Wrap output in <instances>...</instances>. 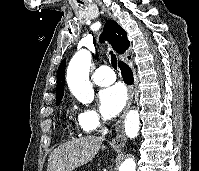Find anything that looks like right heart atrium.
<instances>
[{
	"label": "right heart atrium",
	"mask_w": 199,
	"mask_h": 171,
	"mask_svg": "<svg viewBox=\"0 0 199 171\" xmlns=\"http://www.w3.org/2000/svg\"><path fill=\"white\" fill-rule=\"evenodd\" d=\"M105 118L94 108H84L78 115V125L83 132L96 131L104 122Z\"/></svg>",
	"instance_id": "1"
}]
</instances>
